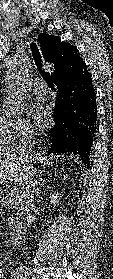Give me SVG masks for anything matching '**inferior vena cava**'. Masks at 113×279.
<instances>
[{"label": "inferior vena cava", "mask_w": 113, "mask_h": 279, "mask_svg": "<svg viewBox=\"0 0 113 279\" xmlns=\"http://www.w3.org/2000/svg\"><path fill=\"white\" fill-rule=\"evenodd\" d=\"M35 145V137L33 130L26 129L25 133L19 140L18 145L16 146V150H18L22 155H30L32 148ZM37 185V179L35 177L34 171H29L27 175V180L25 184V205H24V214L26 216L27 223L25 224L28 228L32 227L33 223V198L35 187Z\"/></svg>", "instance_id": "inferior-vena-cava-1"}]
</instances>
